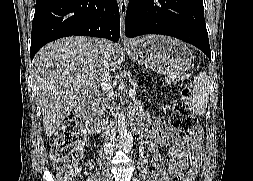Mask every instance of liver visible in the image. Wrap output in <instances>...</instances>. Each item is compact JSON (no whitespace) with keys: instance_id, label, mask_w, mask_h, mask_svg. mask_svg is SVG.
<instances>
[{"instance_id":"liver-1","label":"liver","mask_w":253,"mask_h":181,"mask_svg":"<svg viewBox=\"0 0 253 181\" xmlns=\"http://www.w3.org/2000/svg\"><path fill=\"white\" fill-rule=\"evenodd\" d=\"M115 67L118 45L90 37H68L41 48L32 63L33 88L47 136H52L73 108L104 78L103 54Z\"/></svg>"}]
</instances>
